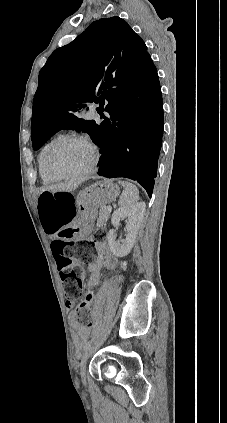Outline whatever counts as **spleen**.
Returning <instances> with one entry per match:
<instances>
[{
	"label": "spleen",
	"instance_id": "3e777b00",
	"mask_svg": "<svg viewBox=\"0 0 227 423\" xmlns=\"http://www.w3.org/2000/svg\"><path fill=\"white\" fill-rule=\"evenodd\" d=\"M118 184L124 188L123 194L120 196L119 206H123V208L135 206L137 200H139V192L136 186L130 184V182H122V180H118Z\"/></svg>",
	"mask_w": 227,
	"mask_h": 423
}]
</instances>
